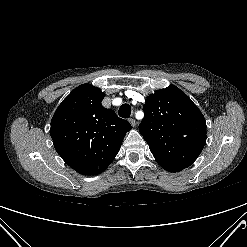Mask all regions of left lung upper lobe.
Instances as JSON below:
<instances>
[{
  "mask_svg": "<svg viewBox=\"0 0 247 247\" xmlns=\"http://www.w3.org/2000/svg\"><path fill=\"white\" fill-rule=\"evenodd\" d=\"M140 133L156 161L183 168L200 155L206 142V121L179 88L170 85L148 96Z\"/></svg>",
  "mask_w": 247,
  "mask_h": 247,
  "instance_id": "obj_1",
  "label": "left lung upper lobe"
}]
</instances>
